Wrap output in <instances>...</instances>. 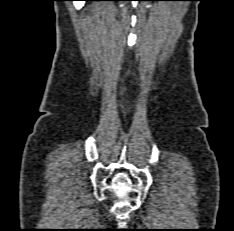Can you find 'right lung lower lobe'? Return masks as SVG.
<instances>
[{
	"mask_svg": "<svg viewBox=\"0 0 234 231\" xmlns=\"http://www.w3.org/2000/svg\"><path fill=\"white\" fill-rule=\"evenodd\" d=\"M86 1H96V0H86Z\"/></svg>",
	"mask_w": 234,
	"mask_h": 231,
	"instance_id": "1",
	"label": "right lung lower lobe"
}]
</instances>
